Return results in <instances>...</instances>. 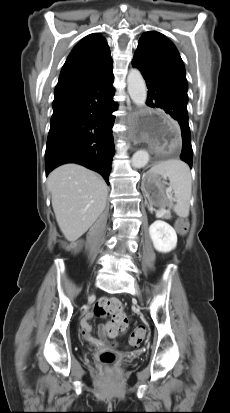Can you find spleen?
<instances>
[{
    "label": "spleen",
    "mask_w": 230,
    "mask_h": 413,
    "mask_svg": "<svg viewBox=\"0 0 230 413\" xmlns=\"http://www.w3.org/2000/svg\"><path fill=\"white\" fill-rule=\"evenodd\" d=\"M148 173L153 176H161L163 179H169L168 192L171 193L172 191L176 202L172 209L179 217L187 218L192 191V178L188 165L179 159H171L156 164Z\"/></svg>",
    "instance_id": "1"
}]
</instances>
